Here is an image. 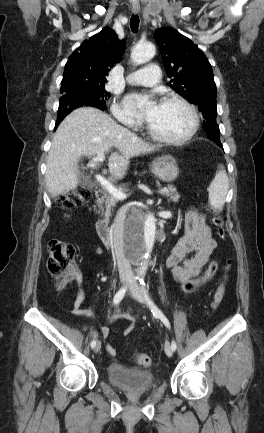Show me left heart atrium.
<instances>
[{
	"label": "left heart atrium",
	"instance_id": "left-heart-atrium-1",
	"mask_svg": "<svg viewBox=\"0 0 264 433\" xmlns=\"http://www.w3.org/2000/svg\"><path fill=\"white\" fill-rule=\"evenodd\" d=\"M126 103L128 107L138 116L150 121L155 115L159 103L151 96L131 94L127 97Z\"/></svg>",
	"mask_w": 264,
	"mask_h": 433
}]
</instances>
